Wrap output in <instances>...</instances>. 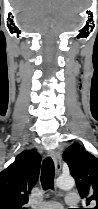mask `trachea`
<instances>
[{
    "instance_id": "1",
    "label": "trachea",
    "mask_w": 98,
    "mask_h": 209,
    "mask_svg": "<svg viewBox=\"0 0 98 209\" xmlns=\"http://www.w3.org/2000/svg\"><path fill=\"white\" fill-rule=\"evenodd\" d=\"M55 167L53 160L48 157L42 163L41 184L44 190L54 188Z\"/></svg>"
}]
</instances>
